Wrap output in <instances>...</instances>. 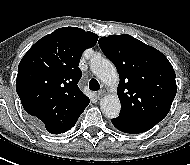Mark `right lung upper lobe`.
I'll return each instance as SVG.
<instances>
[{
	"instance_id": "obj_1",
	"label": "right lung upper lobe",
	"mask_w": 190,
	"mask_h": 165,
	"mask_svg": "<svg viewBox=\"0 0 190 165\" xmlns=\"http://www.w3.org/2000/svg\"><path fill=\"white\" fill-rule=\"evenodd\" d=\"M98 36L77 27H63L37 41L18 66L17 94L28 114L49 133L70 130L89 104L77 83L82 52Z\"/></svg>"
}]
</instances>
